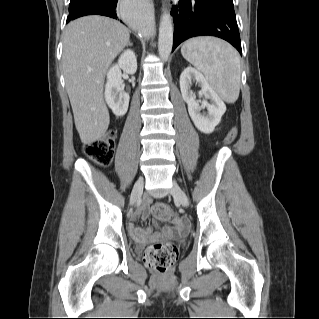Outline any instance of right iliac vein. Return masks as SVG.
Masks as SVG:
<instances>
[{"instance_id": "1", "label": "right iliac vein", "mask_w": 319, "mask_h": 319, "mask_svg": "<svg viewBox=\"0 0 319 319\" xmlns=\"http://www.w3.org/2000/svg\"><path fill=\"white\" fill-rule=\"evenodd\" d=\"M143 191V180L139 179L132 190L131 196H130V203L131 205H134L135 202L137 201L138 197L141 195Z\"/></svg>"}]
</instances>
